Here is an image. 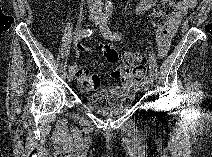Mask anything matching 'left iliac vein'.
<instances>
[{
    "label": "left iliac vein",
    "instance_id": "4c4485c4",
    "mask_svg": "<svg viewBox=\"0 0 212 157\" xmlns=\"http://www.w3.org/2000/svg\"><path fill=\"white\" fill-rule=\"evenodd\" d=\"M102 21H103V19H99L96 23L101 25ZM141 87H142V90L145 92H147L149 90V85L146 83H142Z\"/></svg>",
    "mask_w": 212,
    "mask_h": 157
}]
</instances>
